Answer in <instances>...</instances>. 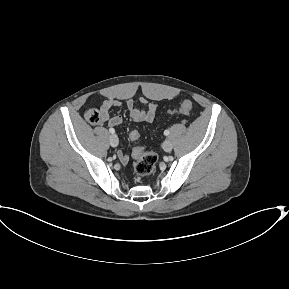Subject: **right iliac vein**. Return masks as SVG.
I'll use <instances>...</instances> for the list:
<instances>
[{
    "instance_id": "obj_1",
    "label": "right iliac vein",
    "mask_w": 289,
    "mask_h": 289,
    "mask_svg": "<svg viewBox=\"0 0 289 289\" xmlns=\"http://www.w3.org/2000/svg\"><path fill=\"white\" fill-rule=\"evenodd\" d=\"M109 142H110V145H111L112 147H116V146L118 145V142H119L117 135L112 134V135L110 136V138H109Z\"/></svg>"
}]
</instances>
